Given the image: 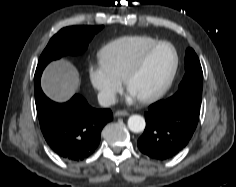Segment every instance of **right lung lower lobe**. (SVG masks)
Segmentation results:
<instances>
[{
  "instance_id": "1",
  "label": "right lung lower lobe",
  "mask_w": 236,
  "mask_h": 187,
  "mask_svg": "<svg viewBox=\"0 0 236 187\" xmlns=\"http://www.w3.org/2000/svg\"><path fill=\"white\" fill-rule=\"evenodd\" d=\"M35 103L41 131L49 146L62 158L81 161L100 142L101 130L113 119L110 109H94L76 94L66 103H55L34 81Z\"/></svg>"
}]
</instances>
